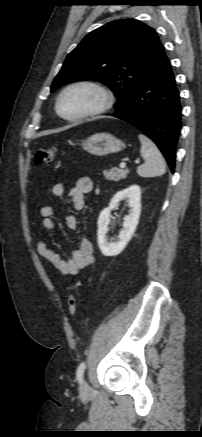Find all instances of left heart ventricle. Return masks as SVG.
<instances>
[{
	"mask_svg": "<svg viewBox=\"0 0 202 437\" xmlns=\"http://www.w3.org/2000/svg\"><path fill=\"white\" fill-rule=\"evenodd\" d=\"M100 102V96L94 90L87 87H79L70 90L61 100V111L66 116H76L96 107Z\"/></svg>",
	"mask_w": 202,
	"mask_h": 437,
	"instance_id": "1",
	"label": "left heart ventricle"
}]
</instances>
